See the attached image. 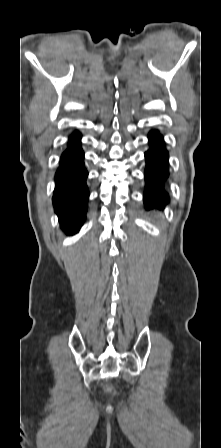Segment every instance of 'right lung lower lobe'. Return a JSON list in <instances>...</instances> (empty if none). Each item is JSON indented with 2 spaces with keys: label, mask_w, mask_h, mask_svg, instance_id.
I'll return each instance as SVG.
<instances>
[{
  "label": "right lung lower lobe",
  "mask_w": 221,
  "mask_h": 448,
  "mask_svg": "<svg viewBox=\"0 0 221 448\" xmlns=\"http://www.w3.org/2000/svg\"><path fill=\"white\" fill-rule=\"evenodd\" d=\"M80 138L77 132L70 137L55 177L53 204L61 228L69 235L78 232L83 224L89 197L85 182L88 172L84 167Z\"/></svg>",
  "instance_id": "obj_1"
}]
</instances>
